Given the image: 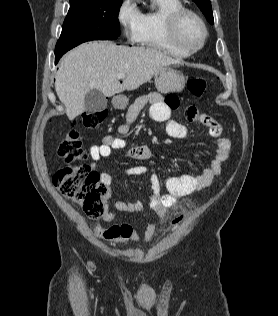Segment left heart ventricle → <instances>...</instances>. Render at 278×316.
<instances>
[{"label": "left heart ventricle", "mask_w": 278, "mask_h": 316, "mask_svg": "<svg viewBox=\"0 0 278 316\" xmlns=\"http://www.w3.org/2000/svg\"><path fill=\"white\" fill-rule=\"evenodd\" d=\"M183 30L185 38L190 44L196 45L201 41L202 29L195 20L191 18L186 19Z\"/></svg>", "instance_id": "1"}]
</instances>
